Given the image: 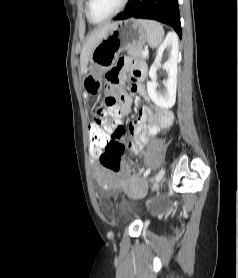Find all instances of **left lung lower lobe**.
Here are the masks:
<instances>
[{
  "instance_id": "left-lung-lower-lobe-1",
  "label": "left lung lower lobe",
  "mask_w": 238,
  "mask_h": 278,
  "mask_svg": "<svg viewBox=\"0 0 238 278\" xmlns=\"http://www.w3.org/2000/svg\"><path fill=\"white\" fill-rule=\"evenodd\" d=\"M152 19L171 26L181 38L178 0H129L125 10L115 20L128 18Z\"/></svg>"
}]
</instances>
